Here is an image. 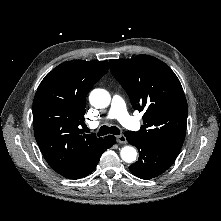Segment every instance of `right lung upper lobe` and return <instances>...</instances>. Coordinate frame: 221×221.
Listing matches in <instances>:
<instances>
[{
  "instance_id": "cb5924a9",
  "label": "right lung upper lobe",
  "mask_w": 221,
  "mask_h": 221,
  "mask_svg": "<svg viewBox=\"0 0 221 221\" xmlns=\"http://www.w3.org/2000/svg\"><path fill=\"white\" fill-rule=\"evenodd\" d=\"M108 71V62H64L40 83L33 101L35 138L51 168L66 177L102 144L103 139L85 134L86 96Z\"/></svg>"
}]
</instances>
